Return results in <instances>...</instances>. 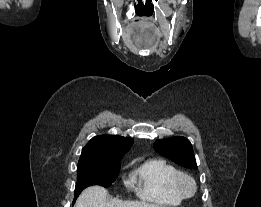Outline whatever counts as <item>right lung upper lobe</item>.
I'll list each match as a JSON object with an SVG mask.
<instances>
[{"label":"right lung upper lobe","instance_id":"cb5924a9","mask_svg":"<svg viewBox=\"0 0 261 207\" xmlns=\"http://www.w3.org/2000/svg\"><path fill=\"white\" fill-rule=\"evenodd\" d=\"M133 140L117 135H99L93 137L82 149L78 165L109 163L123 157L130 149Z\"/></svg>","mask_w":261,"mask_h":207}]
</instances>
